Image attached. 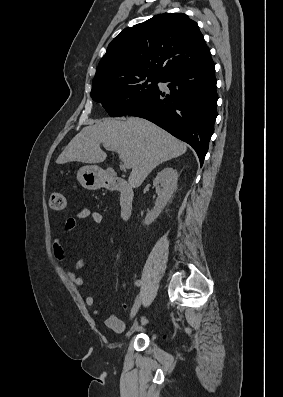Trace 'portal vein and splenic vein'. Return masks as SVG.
Returning <instances> with one entry per match:
<instances>
[{
	"label": "portal vein and splenic vein",
	"instance_id": "portal-vein-and-splenic-vein-1",
	"mask_svg": "<svg viewBox=\"0 0 283 397\" xmlns=\"http://www.w3.org/2000/svg\"><path fill=\"white\" fill-rule=\"evenodd\" d=\"M103 145H104V147H105L107 150L114 151V149H113L112 147H110L109 145H107V144H103ZM119 159H120V161H121V165H122L124 168H126V169H130V168H131L130 163L127 162V161L125 160V158H123L120 154H119Z\"/></svg>",
	"mask_w": 283,
	"mask_h": 397
}]
</instances>
